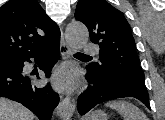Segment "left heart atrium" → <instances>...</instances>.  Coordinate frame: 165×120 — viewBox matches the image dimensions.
Segmentation results:
<instances>
[{
	"instance_id": "obj_1",
	"label": "left heart atrium",
	"mask_w": 165,
	"mask_h": 120,
	"mask_svg": "<svg viewBox=\"0 0 165 120\" xmlns=\"http://www.w3.org/2000/svg\"><path fill=\"white\" fill-rule=\"evenodd\" d=\"M52 83L59 90L71 91L78 84L77 72L72 66H62L54 72Z\"/></svg>"
}]
</instances>
